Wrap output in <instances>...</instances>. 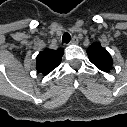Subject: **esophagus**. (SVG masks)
Instances as JSON below:
<instances>
[{"mask_svg":"<svg viewBox=\"0 0 127 127\" xmlns=\"http://www.w3.org/2000/svg\"><path fill=\"white\" fill-rule=\"evenodd\" d=\"M78 42H79V40H78V37H76V36H74V37L71 39V41H70L71 44H78Z\"/></svg>","mask_w":127,"mask_h":127,"instance_id":"esophagus-1","label":"esophagus"}]
</instances>
